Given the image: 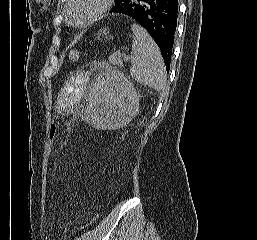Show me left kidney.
<instances>
[{
  "label": "left kidney",
  "mask_w": 257,
  "mask_h": 240,
  "mask_svg": "<svg viewBox=\"0 0 257 240\" xmlns=\"http://www.w3.org/2000/svg\"><path fill=\"white\" fill-rule=\"evenodd\" d=\"M139 110V95L121 72L100 75L89 97L88 121L102 130L119 129L131 121Z\"/></svg>",
  "instance_id": "obj_1"
}]
</instances>
